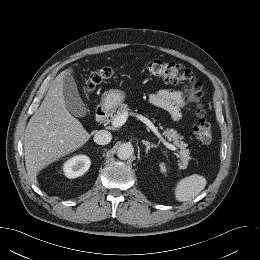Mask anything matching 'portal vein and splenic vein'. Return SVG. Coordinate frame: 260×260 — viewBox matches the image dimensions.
Wrapping results in <instances>:
<instances>
[{
    "label": "portal vein and splenic vein",
    "mask_w": 260,
    "mask_h": 260,
    "mask_svg": "<svg viewBox=\"0 0 260 260\" xmlns=\"http://www.w3.org/2000/svg\"><path fill=\"white\" fill-rule=\"evenodd\" d=\"M128 118V113H123L120 116H118L117 118H115L112 121V126L117 128V127H121L122 125L125 124V122L127 121ZM137 118L139 120H141L144 124H146L148 126V128H150L157 136L158 138L163 142V144L170 150L172 151H176V147L170 143H168L167 141H165L163 139V137L161 136V134L158 132L157 128L153 125V123L147 119L146 117L142 116V115H137Z\"/></svg>",
    "instance_id": "portal-vein-and-splenic-vein-1"
}]
</instances>
